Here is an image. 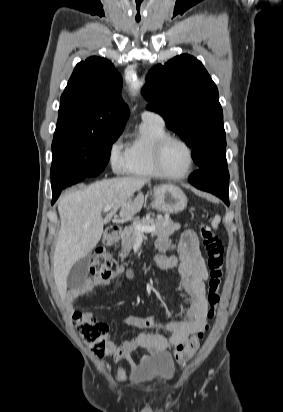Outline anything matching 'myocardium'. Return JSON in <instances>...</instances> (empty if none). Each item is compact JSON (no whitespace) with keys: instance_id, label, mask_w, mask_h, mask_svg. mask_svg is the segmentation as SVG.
Listing matches in <instances>:
<instances>
[{"instance_id":"f54148a6","label":"myocardium","mask_w":283,"mask_h":412,"mask_svg":"<svg viewBox=\"0 0 283 412\" xmlns=\"http://www.w3.org/2000/svg\"><path fill=\"white\" fill-rule=\"evenodd\" d=\"M171 142L180 143L182 146L185 147L189 155V160H190L189 167L184 173L179 174V175L167 173L162 166V156H163L164 149ZM153 161H154V166L157 170V173L160 177L172 179V180H180V179H184L188 177L192 173L194 166H195V154H194L193 148L186 140H184L183 138L179 136L168 134L157 141L154 147Z\"/></svg>"}]
</instances>
